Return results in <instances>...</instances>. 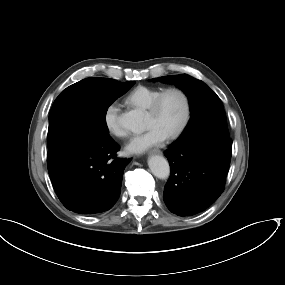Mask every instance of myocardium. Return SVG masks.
<instances>
[{
    "label": "myocardium",
    "mask_w": 285,
    "mask_h": 285,
    "mask_svg": "<svg viewBox=\"0 0 285 285\" xmlns=\"http://www.w3.org/2000/svg\"><path fill=\"white\" fill-rule=\"evenodd\" d=\"M171 92L178 93L182 97L184 102V115L180 125L177 127V129L174 132L166 136L167 139H176L184 132L191 117V101L189 95L184 89L180 87H169L162 90L151 102V104L147 108V111L150 114H156L161 106L164 97Z\"/></svg>",
    "instance_id": "1"
}]
</instances>
